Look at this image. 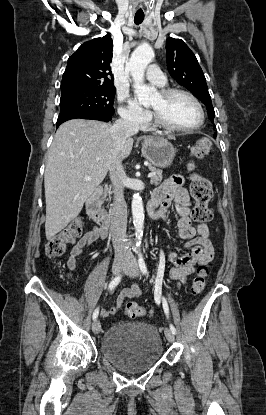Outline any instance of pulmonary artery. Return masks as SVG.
<instances>
[{"instance_id": "1", "label": "pulmonary artery", "mask_w": 266, "mask_h": 415, "mask_svg": "<svg viewBox=\"0 0 266 415\" xmlns=\"http://www.w3.org/2000/svg\"><path fill=\"white\" fill-rule=\"evenodd\" d=\"M146 77L150 82L160 87L165 86L167 83L166 77L161 72V70L155 65H152L148 68Z\"/></svg>"}]
</instances>
